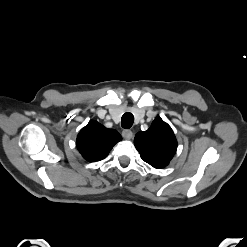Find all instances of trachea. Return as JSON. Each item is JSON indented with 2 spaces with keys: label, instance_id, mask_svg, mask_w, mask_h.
Masks as SVG:
<instances>
[{
  "label": "trachea",
  "instance_id": "3493384b",
  "mask_svg": "<svg viewBox=\"0 0 247 247\" xmlns=\"http://www.w3.org/2000/svg\"><path fill=\"white\" fill-rule=\"evenodd\" d=\"M133 122L134 116L129 112L125 113L121 118V125L125 129H129L133 125Z\"/></svg>",
  "mask_w": 247,
  "mask_h": 247
}]
</instances>
